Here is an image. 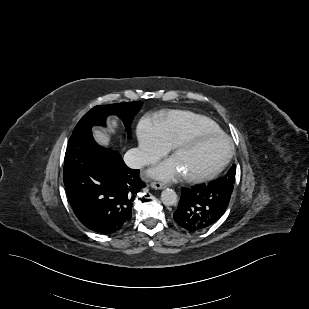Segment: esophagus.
Wrapping results in <instances>:
<instances>
[{
	"mask_svg": "<svg viewBox=\"0 0 309 309\" xmlns=\"http://www.w3.org/2000/svg\"><path fill=\"white\" fill-rule=\"evenodd\" d=\"M150 186L156 190H162L164 188H166V185L164 183L161 182H152L150 184Z\"/></svg>",
	"mask_w": 309,
	"mask_h": 309,
	"instance_id": "34e87169",
	"label": "esophagus"
}]
</instances>
